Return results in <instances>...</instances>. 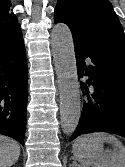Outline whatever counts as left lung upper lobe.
<instances>
[{
  "label": "left lung upper lobe",
  "mask_w": 125,
  "mask_h": 167,
  "mask_svg": "<svg viewBox=\"0 0 125 167\" xmlns=\"http://www.w3.org/2000/svg\"><path fill=\"white\" fill-rule=\"evenodd\" d=\"M54 20L68 25L74 41H111L125 49L124 30L108 0H58Z\"/></svg>",
  "instance_id": "obj_1"
}]
</instances>
